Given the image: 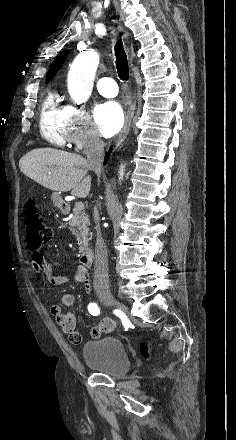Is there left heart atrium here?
<instances>
[{
	"label": "left heart atrium",
	"instance_id": "left-heart-atrium-1",
	"mask_svg": "<svg viewBox=\"0 0 236 440\" xmlns=\"http://www.w3.org/2000/svg\"><path fill=\"white\" fill-rule=\"evenodd\" d=\"M94 117L98 131L104 137L116 134L124 122L123 110L115 101H107L96 106Z\"/></svg>",
	"mask_w": 236,
	"mask_h": 440
}]
</instances>
